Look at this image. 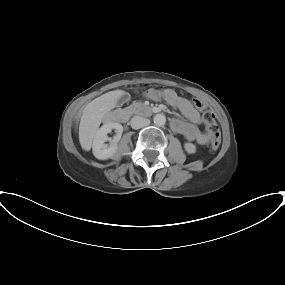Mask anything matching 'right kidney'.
<instances>
[{
	"label": "right kidney",
	"instance_id": "right-kidney-1",
	"mask_svg": "<svg viewBox=\"0 0 285 285\" xmlns=\"http://www.w3.org/2000/svg\"><path fill=\"white\" fill-rule=\"evenodd\" d=\"M115 129L116 136L108 146L105 142L108 140L107 134ZM123 132V126L116 122H108L104 124L95 134L92 151L93 155L99 160L112 158L117 153V142L120 140Z\"/></svg>",
	"mask_w": 285,
	"mask_h": 285
}]
</instances>
